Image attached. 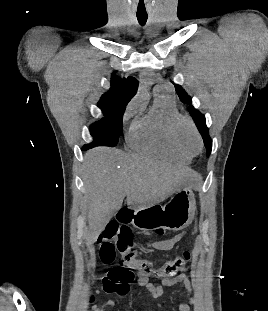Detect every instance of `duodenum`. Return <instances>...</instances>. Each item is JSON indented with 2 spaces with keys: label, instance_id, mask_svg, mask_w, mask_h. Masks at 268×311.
I'll return each instance as SVG.
<instances>
[{
  "label": "duodenum",
  "instance_id": "1",
  "mask_svg": "<svg viewBox=\"0 0 268 311\" xmlns=\"http://www.w3.org/2000/svg\"><path fill=\"white\" fill-rule=\"evenodd\" d=\"M122 215H123V216H129V215H131V211L128 210V209H126V210H124V211L122 212Z\"/></svg>",
  "mask_w": 268,
  "mask_h": 311
}]
</instances>
